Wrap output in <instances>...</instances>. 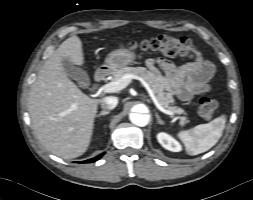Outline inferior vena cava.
Here are the masks:
<instances>
[{"label": "inferior vena cava", "instance_id": "inferior-vena-cava-1", "mask_svg": "<svg viewBox=\"0 0 253 200\" xmlns=\"http://www.w3.org/2000/svg\"><path fill=\"white\" fill-rule=\"evenodd\" d=\"M101 107L104 110L114 109L118 104V98L114 96L104 97L100 101Z\"/></svg>", "mask_w": 253, "mask_h": 200}]
</instances>
